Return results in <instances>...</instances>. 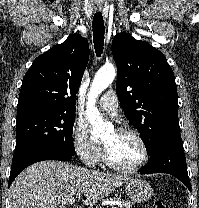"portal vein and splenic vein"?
Listing matches in <instances>:
<instances>
[{"label": "portal vein and splenic vein", "instance_id": "obj_1", "mask_svg": "<svg viewBox=\"0 0 199 208\" xmlns=\"http://www.w3.org/2000/svg\"><path fill=\"white\" fill-rule=\"evenodd\" d=\"M75 202L74 198H69V199H66L65 202L62 203V205L68 203V204H73ZM113 208H117V207H113Z\"/></svg>", "mask_w": 199, "mask_h": 208}]
</instances>
